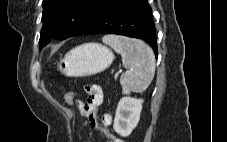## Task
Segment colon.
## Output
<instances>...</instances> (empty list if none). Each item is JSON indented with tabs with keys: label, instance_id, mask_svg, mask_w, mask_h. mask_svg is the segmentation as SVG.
Instances as JSON below:
<instances>
[{
	"label": "colon",
	"instance_id": "colon-1",
	"mask_svg": "<svg viewBox=\"0 0 227 142\" xmlns=\"http://www.w3.org/2000/svg\"><path fill=\"white\" fill-rule=\"evenodd\" d=\"M73 100H74V92L73 91H68L66 94H65V102L68 104V105H71L73 103Z\"/></svg>",
	"mask_w": 227,
	"mask_h": 142
}]
</instances>
